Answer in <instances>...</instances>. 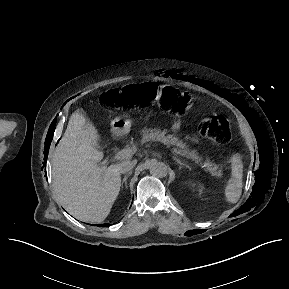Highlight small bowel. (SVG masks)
<instances>
[{"label": "small bowel", "instance_id": "obj_1", "mask_svg": "<svg viewBox=\"0 0 289 289\" xmlns=\"http://www.w3.org/2000/svg\"><path fill=\"white\" fill-rule=\"evenodd\" d=\"M179 128H180V122L177 121V122H175V123L173 124L172 129H173L174 131H177Z\"/></svg>", "mask_w": 289, "mask_h": 289}]
</instances>
